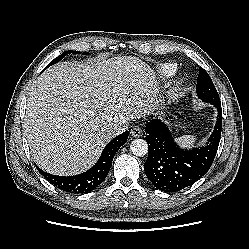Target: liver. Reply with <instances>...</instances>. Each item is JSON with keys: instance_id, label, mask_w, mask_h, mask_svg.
<instances>
[{"instance_id": "liver-1", "label": "liver", "mask_w": 249, "mask_h": 249, "mask_svg": "<svg viewBox=\"0 0 249 249\" xmlns=\"http://www.w3.org/2000/svg\"><path fill=\"white\" fill-rule=\"evenodd\" d=\"M158 98L155 72L136 57L54 65L27 99L24 128L31 155L51 174L84 172L114 137L110 128L149 114Z\"/></svg>"}]
</instances>
